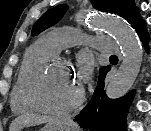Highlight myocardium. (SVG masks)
Segmentation results:
<instances>
[{"label":"myocardium","instance_id":"1","mask_svg":"<svg viewBox=\"0 0 151 131\" xmlns=\"http://www.w3.org/2000/svg\"><path fill=\"white\" fill-rule=\"evenodd\" d=\"M56 65H64L70 67L69 61H67L65 58H62L61 56L56 54L49 56L41 63H39L31 72L27 82L26 93L28 100L32 104L34 109L47 114L60 115L68 113L80 106L84 99V88L81 86L76 97L61 106H51L46 104L42 100L38 91L39 81L52 67Z\"/></svg>","mask_w":151,"mask_h":131}]
</instances>
